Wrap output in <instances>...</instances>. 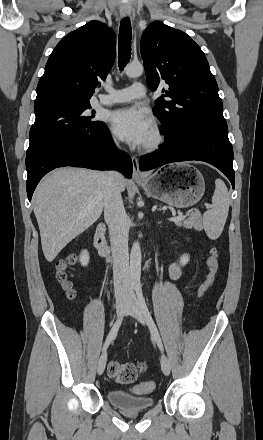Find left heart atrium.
I'll use <instances>...</instances> for the list:
<instances>
[{
  "label": "left heart atrium",
  "mask_w": 263,
  "mask_h": 440,
  "mask_svg": "<svg viewBox=\"0 0 263 440\" xmlns=\"http://www.w3.org/2000/svg\"><path fill=\"white\" fill-rule=\"evenodd\" d=\"M113 131L125 141L140 145L151 131V118L138 107H126L110 115Z\"/></svg>",
  "instance_id": "left-heart-atrium-1"
}]
</instances>
